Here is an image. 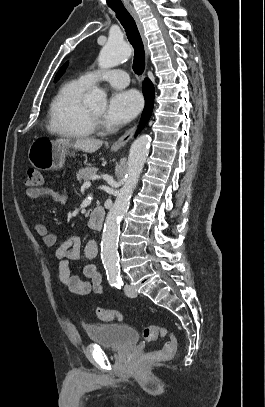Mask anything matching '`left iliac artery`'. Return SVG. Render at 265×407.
Here are the masks:
<instances>
[{
  "label": "left iliac artery",
  "instance_id": "44dca946",
  "mask_svg": "<svg viewBox=\"0 0 265 407\" xmlns=\"http://www.w3.org/2000/svg\"><path fill=\"white\" fill-rule=\"evenodd\" d=\"M113 286H115L118 289H121V287L123 286V280L120 277H117L116 279L111 281Z\"/></svg>",
  "mask_w": 265,
  "mask_h": 407
}]
</instances>
